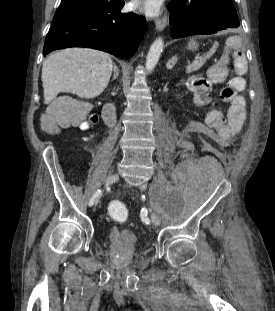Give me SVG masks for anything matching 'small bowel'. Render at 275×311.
<instances>
[{"mask_svg": "<svg viewBox=\"0 0 275 311\" xmlns=\"http://www.w3.org/2000/svg\"><path fill=\"white\" fill-rule=\"evenodd\" d=\"M227 49L224 51L222 60H215L214 65H209L203 73H193V80H186L187 93H195L194 108H205L204 122L207 129H212L214 133L213 143H230V139H235V133H241L243 129V119L245 117V99L238 95L230 102L229 118H225L221 105L213 102L212 81L225 80L226 72L231 62L229 57H246L247 51L240 50L242 43L238 36L229 37L226 40ZM211 103V105H210ZM98 122L97 115H90L81 120L77 127L82 131L92 129Z\"/></svg>", "mask_w": 275, "mask_h": 311, "instance_id": "small-bowel-1", "label": "small bowel"}]
</instances>
